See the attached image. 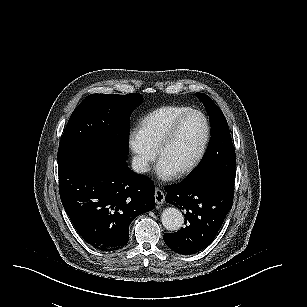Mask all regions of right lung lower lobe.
I'll use <instances>...</instances> for the list:
<instances>
[{
	"label": "right lung lower lobe",
	"mask_w": 307,
	"mask_h": 307,
	"mask_svg": "<svg viewBox=\"0 0 307 307\" xmlns=\"http://www.w3.org/2000/svg\"><path fill=\"white\" fill-rule=\"evenodd\" d=\"M125 159L96 149L58 160L64 209L82 238L102 251L126 244L130 222L155 207L153 183Z\"/></svg>",
	"instance_id": "98d812e1"
}]
</instances>
